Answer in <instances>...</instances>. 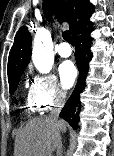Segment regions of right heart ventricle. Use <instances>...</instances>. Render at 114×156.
I'll return each instance as SVG.
<instances>
[{
  "instance_id": "e07e8e85",
  "label": "right heart ventricle",
  "mask_w": 114,
  "mask_h": 156,
  "mask_svg": "<svg viewBox=\"0 0 114 156\" xmlns=\"http://www.w3.org/2000/svg\"><path fill=\"white\" fill-rule=\"evenodd\" d=\"M25 107H26L28 113H37V112L41 111L39 106L33 101V99L30 97L29 94H28V97L26 99V106Z\"/></svg>"
}]
</instances>
